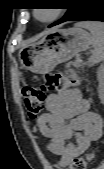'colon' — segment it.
<instances>
[{"mask_svg":"<svg viewBox=\"0 0 104 169\" xmlns=\"http://www.w3.org/2000/svg\"><path fill=\"white\" fill-rule=\"evenodd\" d=\"M35 85L23 89V102L27 114L31 119L36 118L43 110L46 93L50 90H63L78 85L74 77H67L62 73L46 72L40 77H34ZM94 158L93 153H86L74 158L67 169H86Z\"/></svg>","mask_w":104,"mask_h":169,"instance_id":"obj_1","label":"colon"}]
</instances>
